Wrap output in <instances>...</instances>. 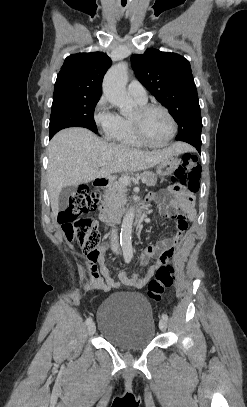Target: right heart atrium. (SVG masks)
I'll return each mask as SVG.
<instances>
[{"label":"right heart atrium","instance_id":"1","mask_svg":"<svg viewBox=\"0 0 247 407\" xmlns=\"http://www.w3.org/2000/svg\"><path fill=\"white\" fill-rule=\"evenodd\" d=\"M93 120L106 138H111L119 120V115L110 110L107 98L103 95L97 101L93 110Z\"/></svg>","mask_w":247,"mask_h":407}]
</instances>
